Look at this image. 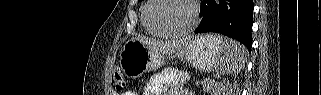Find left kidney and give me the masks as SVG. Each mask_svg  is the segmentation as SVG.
I'll list each match as a JSON object with an SVG mask.
<instances>
[{
  "mask_svg": "<svg viewBox=\"0 0 321 95\" xmlns=\"http://www.w3.org/2000/svg\"><path fill=\"white\" fill-rule=\"evenodd\" d=\"M232 91L226 87H221L217 90L216 95H231Z\"/></svg>",
  "mask_w": 321,
  "mask_h": 95,
  "instance_id": "5707ae66",
  "label": "left kidney"
}]
</instances>
